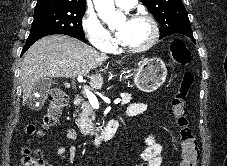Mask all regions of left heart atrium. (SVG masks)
<instances>
[{"label": "left heart atrium", "instance_id": "39dd6f15", "mask_svg": "<svg viewBox=\"0 0 227 166\" xmlns=\"http://www.w3.org/2000/svg\"><path fill=\"white\" fill-rule=\"evenodd\" d=\"M124 31L122 29H119L117 32H116V37L118 40L122 41L123 38H124Z\"/></svg>", "mask_w": 227, "mask_h": 166}]
</instances>
